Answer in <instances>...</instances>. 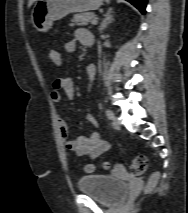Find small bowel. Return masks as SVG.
Returning <instances> with one entry per match:
<instances>
[{
  "label": "small bowel",
  "instance_id": "1",
  "mask_svg": "<svg viewBox=\"0 0 188 213\" xmlns=\"http://www.w3.org/2000/svg\"><path fill=\"white\" fill-rule=\"evenodd\" d=\"M94 40L93 33L88 29H77L74 39L69 40L65 44V51L67 53H73L77 49L78 44L92 45ZM52 61L59 65L61 63L60 55L57 60ZM86 71L88 76L92 78L96 74V67L90 64L87 66ZM61 91L64 92L69 99L74 97L75 89L70 78H59L53 82L52 91L50 93V99L53 103H59L61 101ZM86 120L93 127L98 125L96 118L91 114L86 115ZM57 122L64 146L68 151L75 153L79 157H90L91 159H96L108 151L110 144L104 140L97 131L70 138L65 120L58 115Z\"/></svg>",
  "mask_w": 188,
  "mask_h": 213
}]
</instances>
